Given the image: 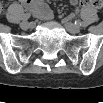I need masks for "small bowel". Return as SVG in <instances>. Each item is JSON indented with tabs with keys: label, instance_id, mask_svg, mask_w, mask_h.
Returning a JSON list of instances; mask_svg holds the SVG:
<instances>
[{
	"label": "small bowel",
	"instance_id": "1",
	"mask_svg": "<svg viewBox=\"0 0 103 103\" xmlns=\"http://www.w3.org/2000/svg\"><path fill=\"white\" fill-rule=\"evenodd\" d=\"M72 3L75 4L76 1H72ZM22 5L42 19L52 18L49 6L41 0H22Z\"/></svg>",
	"mask_w": 103,
	"mask_h": 103
}]
</instances>
